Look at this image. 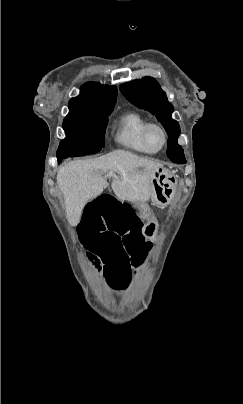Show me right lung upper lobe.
<instances>
[{"instance_id":"obj_1","label":"right lung upper lobe","mask_w":243,"mask_h":404,"mask_svg":"<svg viewBox=\"0 0 243 404\" xmlns=\"http://www.w3.org/2000/svg\"><path fill=\"white\" fill-rule=\"evenodd\" d=\"M117 89L114 86H105L100 83H85L77 97L69 103V114L91 113L114 107Z\"/></svg>"}]
</instances>
